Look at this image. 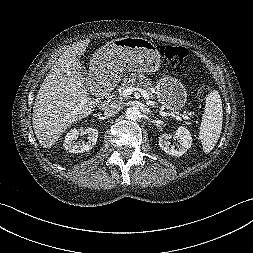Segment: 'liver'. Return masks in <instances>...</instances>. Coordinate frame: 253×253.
Wrapping results in <instances>:
<instances>
[{"label": "liver", "mask_w": 253, "mask_h": 253, "mask_svg": "<svg viewBox=\"0 0 253 253\" xmlns=\"http://www.w3.org/2000/svg\"><path fill=\"white\" fill-rule=\"evenodd\" d=\"M89 39L69 46L44 79L33 106L32 122L38 142L52 147L73 123L90 115L98 99L89 97L83 84L78 59L86 52Z\"/></svg>", "instance_id": "1"}]
</instances>
